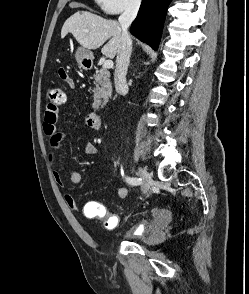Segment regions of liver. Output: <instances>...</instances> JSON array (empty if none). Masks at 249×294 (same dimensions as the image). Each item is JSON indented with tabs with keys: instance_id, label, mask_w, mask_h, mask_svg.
I'll use <instances>...</instances> for the list:
<instances>
[{
	"instance_id": "liver-1",
	"label": "liver",
	"mask_w": 249,
	"mask_h": 294,
	"mask_svg": "<svg viewBox=\"0 0 249 294\" xmlns=\"http://www.w3.org/2000/svg\"><path fill=\"white\" fill-rule=\"evenodd\" d=\"M72 33L77 42L86 49H97L108 39L102 54L114 58L122 44V31L117 21L104 19L88 11H78L69 17L61 30V37Z\"/></svg>"
}]
</instances>
